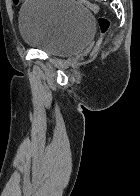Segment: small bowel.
Masks as SVG:
<instances>
[{"mask_svg": "<svg viewBox=\"0 0 140 196\" xmlns=\"http://www.w3.org/2000/svg\"><path fill=\"white\" fill-rule=\"evenodd\" d=\"M19 0H14V2H18Z\"/></svg>", "mask_w": 140, "mask_h": 196, "instance_id": "1", "label": "small bowel"}]
</instances>
